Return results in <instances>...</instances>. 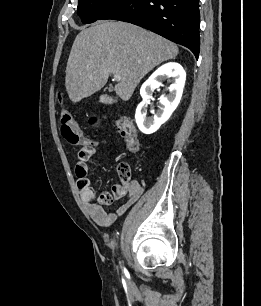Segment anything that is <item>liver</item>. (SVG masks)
Listing matches in <instances>:
<instances>
[{
	"label": "liver",
	"mask_w": 261,
	"mask_h": 306,
	"mask_svg": "<svg viewBox=\"0 0 261 306\" xmlns=\"http://www.w3.org/2000/svg\"><path fill=\"white\" fill-rule=\"evenodd\" d=\"M171 41L136 25L103 21L75 38L66 67L65 87L74 103L102 89L110 74H119L116 94L128 101L142 78L162 62L175 58Z\"/></svg>",
	"instance_id": "obj_1"
}]
</instances>
